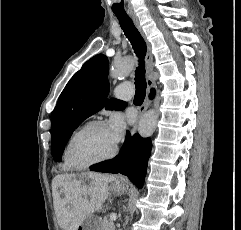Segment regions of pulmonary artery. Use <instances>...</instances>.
<instances>
[{
  "instance_id": "obj_1",
  "label": "pulmonary artery",
  "mask_w": 241,
  "mask_h": 230,
  "mask_svg": "<svg viewBox=\"0 0 241 230\" xmlns=\"http://www.w3.org/2000/svg\"><path fill=\"white\" fill-rule=\"evenodd\" d=\"M114 95L118 99H130L133 95V85L128 82L118 85L114 90Z\"/></svg>"
}]
</instances>
